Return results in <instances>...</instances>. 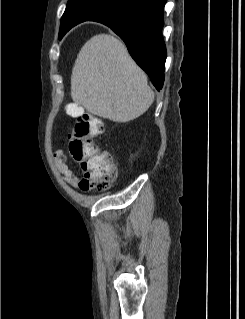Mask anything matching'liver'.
<instances>
[{
    "instance_id": "1",
    "label": "liver",
    "mask_w": 245,
    "mask_h": 319,
    "mask_svg": "<svg viewBox=\"0 0 245 319\" xmlns=\"http://www.w3.org/2000/svg\"><path fill=\"white\" fill-rule=\"evenodd\" d=\"M71 97L76 105L94 115L125 123L148 110L154 92L124 43L113 35L98 34L77 55L71 75Z\"/></svg>"
}]
</instances>
